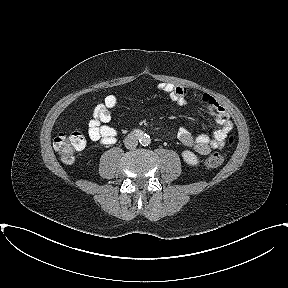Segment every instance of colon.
<instances>
[{
	"label": "colon",
	"mask_w": 288,
	"mask_h": 288,
	"mask_svg": "<svg viewBox=\"0 0 288 288\" xmlns=\"http://www.w3.org/2000/svg\"><path fill=\"white\" fill-rule=\"evenodd\" d=\"M234 141L233 136L228 137L229 144ZM86 145V139L81 130L62 131L54 139V149L65 163H71L75 159L77 152L81 151ZM223 153H214L209 156L204 165L206 168H218L224 161Z\"/></svg>",
	"instance_id": "1"
}]
</instances>
